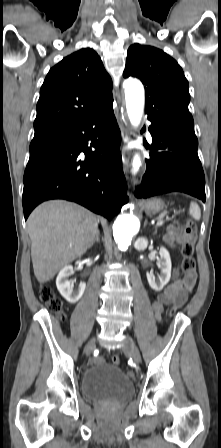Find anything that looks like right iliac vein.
Returning a JSON list of instances; mask_svg holds the SVG:
<instances>
[{
	"instance_id": "63e3f726",
	"label": "right iliac vein",
	"mask_w": 221,
	"mask_h": 448,
	"mask_svg": "<svg viewBox=\"0 0 221 448\" xmlns=\"http://www.w3.org/2000/svg\"><path fill=\"white\" fill-rule=\"evenodd\" d=\"M95 342H96V339L93 338V339L88 343V345H87L86 348H85V352H86L87 354L90 353V352H92V351L95 349Z\"/></svg>"
}]
</instances>
